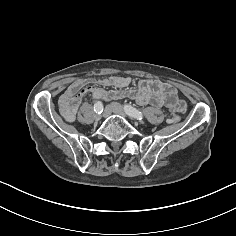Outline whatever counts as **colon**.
I'll list each match as a JSON object with an SVG mask.
<instances>
[{
    "instance_id": "obj_1",
    "label": "colon",
    "mask_w": 236,
    "mask_h": 236,
    "mask_svg": "<svg viewBox=\"0 0 236 236\" xmlns=\"http://www.w3.org/2000/svg\"><path fill=\"white\" fill-rule=\"evenodd\" d=\"M178 121H179V116H178V115L172 116L171 122L176 123V122H178Z\"/></svg>"
}]
</instances>
